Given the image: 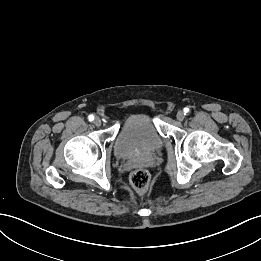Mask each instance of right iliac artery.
I'll return each mask as SVG.
<instances>
[{
  "mask_svg": "<svg viewBox=\"0 0 261 261\" xmlns=\"http://www.w3.org/2000/svg\"><path fill=\"white\" fill-rule=\"evenodd\" d=\"M88 120H89L90 122H92V121L94 120V116H93V115H89V116H88Z\"/></svg>",
  "mask_w": 261,
  "mask_h": 261,
  "instance_id": "1",
  "label": "right iliac artery"
}]
</instances>
